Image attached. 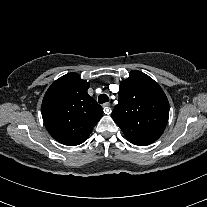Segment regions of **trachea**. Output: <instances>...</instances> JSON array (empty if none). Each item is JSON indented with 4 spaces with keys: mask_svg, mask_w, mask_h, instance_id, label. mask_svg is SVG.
Returning <instances> with one entry per match:
<instances>
[{
    "mask_svg": "<svg viewBox=\"0 0 207 207\" xmlns=\"http://www.w3.org/2000/svg\"><path fill=\"white\" fill-rule=\"evenodd\" d=\"M108 101H109V97L106 94L99 95L98 102L100 104H103V103L108 102Z\"/></svg>",
    "mask_w": 207,
    "mask_h": 207,
    "instance_id": "obj_1",
    "label": "trachea"
}]
</instances>
